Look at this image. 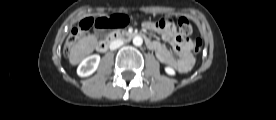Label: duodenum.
<instances>
[{"label": "duodenum", "instance_id": "obj_1", "mask_svg": "<svg viewBox=\"0 0 276 120\" xmlns=\"http://www.w3.org/2000/svg\"><path fill=\"white\" fill-rule=\"evenodd\" d=\"M136 37H144V35L140 33L116 32L111 34L108 38L100 41L97 44V49L101 52H105L108 50L110 44L116 40H119V39L127 40V39L136 38ZM146 43L147 44L149 43L148 39H146Z\"/></svg>", "mask_w": 276, "mask_h": 120}]
</instances>
